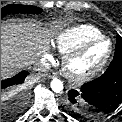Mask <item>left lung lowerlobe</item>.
Segmentation results:
<instances>
[{"instance_id":"0a47b994","label":"left lung lower lobe","mask_w":122,"mask_h":122,"mask_svg":"<svg viewBox=\"0 0 122 122\" xmlns=\"http://www.w3.org/2000/svg\"><path fill=\"white\" fill-rule=\"evenodd\" d=\"M80 99L88 115L96 116L115 110L122 102V58H113L100 77L85 83L80 91L70 90L67 106L74 112L82 109Z\"/></svg>"}]
</instances>
